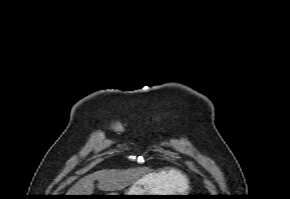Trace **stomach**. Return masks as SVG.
<instances>
[{
	"instance_id": "obj_1",
	"label": "stomach",
	"mask_w": 290,
	"mask_h": 199,
	"mask_svg": "<svg viewBox=\"0 0 290 199\" xmlns=\"http://www.w3.org/2000/svg\"><path fill=\"white\" fill-rule=\"evenodd\" d=\"M157 174L152 176H145L131 185L123 194L111 193L108 195H178L174 194L176 189L164 186L165 181L158 179ZM123 199H150L148 196H116ZM165 197V196H157ZM154 198V197H153Z\"/></svg>"
}]
</instances>
